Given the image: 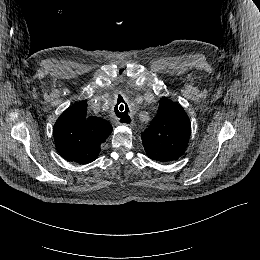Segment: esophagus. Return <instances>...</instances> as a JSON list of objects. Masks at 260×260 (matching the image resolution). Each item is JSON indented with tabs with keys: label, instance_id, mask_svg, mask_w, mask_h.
<instances>
[{
	"label": "esophagus",
	"instance_id": "obj_1",
	"mask_svg": "<svg viewBox=\"0 0 260 260\" xmlns=\"http://www.w3.org/2000/svg\"><path fill=\"white\" fill-rule=\"evenodd\" d=\"M117 123H119V121H117ZM123 125H126V126H133L134 125V119L133 117H130V120L127 122H125Z\"/></svg>",
	"mask_w": 260,
	"mask_h": 260
}]
</instances>
